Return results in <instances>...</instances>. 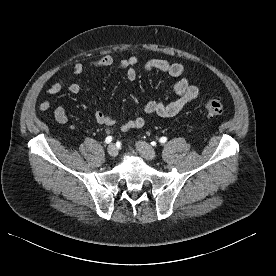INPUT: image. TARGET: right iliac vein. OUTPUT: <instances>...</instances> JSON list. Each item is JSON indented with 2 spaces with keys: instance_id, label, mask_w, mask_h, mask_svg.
Wrapping results in <instances>:
<instances>
[{
  "instance_id": "obj_1",
  "label": "right iliac vein",
  "mask_w": 276,
  "mask_h": 276,
  "mask_svg": "<svg viewBox=\"0 0 276 276\" xmlns=\"http://www.w3.org/2000/svg\"><path fill=\"white\" fill-rule=\"evenodd\" d=\"M108 154L112 157H116L118 154V149L115 144H110L107 148Z\"/></svg>"
}]
</instances>
